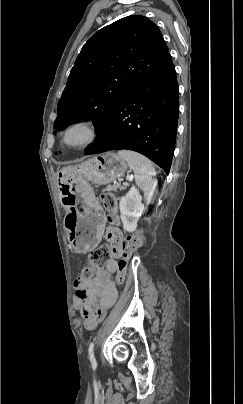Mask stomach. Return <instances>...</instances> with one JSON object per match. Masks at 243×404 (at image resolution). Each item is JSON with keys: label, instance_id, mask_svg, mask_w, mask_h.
I'll return each mask as SVG.
<instances>
[{"label": "stomach", "instance_id": "obj_1", "mask_svg": "<svg viewBox=\"0 0 243 404\" xmlns=\"http://www.w3.org/2000/svg\"><path fill=\"white\" fill-rule=\"evenodd\" d=\"M126 169L127 163L122 157L106 153L79 165L65 167L58 173L61 203L68 210L64 226L76 251L93 250L105 227V214L90 183L109 184L122 177Z\"/></svg>", "mask_w": 243, "mask_h": 404}]
</instances>
